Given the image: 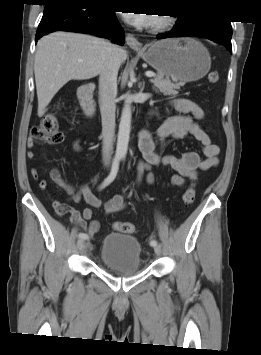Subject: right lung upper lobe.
<instances>
[{
    "mask_svg": "<svg viewBox=\"0 0 261 355\" xmlns=\"http://www.w3.org/2000/svg\"><path fill=\"white\" fill-rule=\"evenodd\" d=\"M44 1H52V0H44Z\"/></svg>",
    "mask_w": 261,
    "mask_h": 355,
    "instance_id": "1",
    "label": "right lung upper lobe"
}]
</instances>
